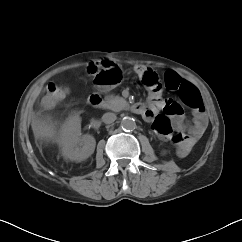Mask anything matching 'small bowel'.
Listing matches in <instances>:
<instances>
[{"label": "small bowel", "instance_id": "small-bowel-1", "mask_svg": "<svg viewBox=\"0 0 242 242\" xmlns=\"http://www.w3.org/2000/svg\"><path fill=\"white\" fill-rule=\"evenodd\" d=\"M102 65L120 68L118 63L108 60L102 61ZM135 71L139 74L141 79L145 73L153 72L141 65H137ZM167 74H173L180 80L185 81L176 72L167 71L165 78ZM108 87L109 86L103 88L108 89ZM145 106L146 112L142 117L146 120H152L158 110L160 108L163 109L165 115L169 117L171 125V134L167 138L176 143L178 152L182 155L187 154L192 149L205 128L206 116L201 110H196L191 120H185L182 107L173 101L163 102L159 92H154L150 96V105Z\"/></svg>", "mask_w": 242, "mask_h": 242}]
</instances>
